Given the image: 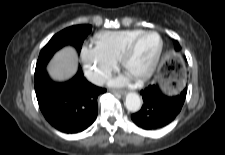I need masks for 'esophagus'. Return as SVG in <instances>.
Masks as SVG:
<instances>
[{
    "label": "esophagus",
    "instance_id": "esophagus-1",
    "mask_svg": "<svg viewBox=\"0 0 225 155\" xmlns=\"http://www.w3.org/2000/svg\"><path fill=\"white\" fill-rule=\"evenodd\" d=\"M113 93L125 95L126 94V91H124V90H113Z\"/></svg>",
    "mask_w": 225,
    "mask_h": 155
}]
</instances>
